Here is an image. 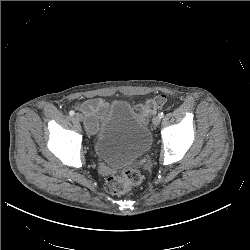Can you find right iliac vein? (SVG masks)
Masks as SVG:
<instances>
[{"instance_id": "63e3f726", "label": "right iliac vein", "mask_w": 250, "mask_h": 250, "mask_svg": "<svg viewBox=\"0 0 250 250\" xmlns=\"http://www.w3.org/2000/svg\"><path fill=\"white\" fill-rule=\"evenodd\" d=\"M74 118L76 121L81 122L83 120V115L81 113H77Z\"/></svg>"}]
</instances>
